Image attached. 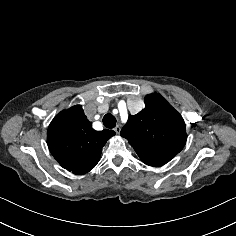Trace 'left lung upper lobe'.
<instances>
[{"label":"left lung upper lobe","instance_id":"left-lung-upper-lobe-1","mask_svg":"<svg viewBox=\"0 0 236 236\" xmlns=\"http://www.w3.org/2000/svg\"><path fill=\"white\" fill-rule=\"evenodd\" d=\"M145 109L130 115L120 134L149 166L169 162L185 146L187 134L182 116L157 93L146 95Z\"/></svg>","mask_w":236,"mask_h":236}]
</instances>
